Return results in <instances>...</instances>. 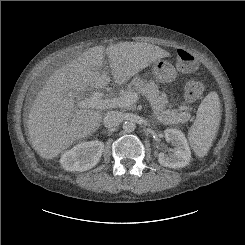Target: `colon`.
I'll return each instance as SVG.
<instances>
[{
    "instance_id": "5ec220e1",
    "label": "colon",
    "mask_w": 245,
    "mask_h": 245,
    "mask_svg": "<svg viewBox=\"0 0 245 245\" xmlns=\"http://www.w3.org/2000/svg\"><path fill=\"white\" fill-rule=\"evenodd\" d=\"M177 68L181 72H192L196 69L197 62L193 54L185 49L179 48L176 51ZM203 83L198 80L188 81L185 85L184 93L188 101L197 100L203 93Z\"/></svg>"
}]
</instances>
